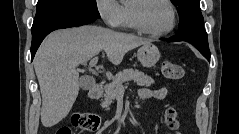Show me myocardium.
<instances>
[{"mask_svg": "<svg viewBox=\"0 0 239 134\" xmlns=\"http://www.w3.org/2000/svg\"><path fill=\"white\" fill-rule=\"evenodd\" d=\"M148 1H151V0H132L131 1L130 5H129V12H130V19H131L132 26L140 33H143V34H146L149 36H154V37L165 36V35L169 34L170 32H172L174 30V28L176 26V22H177L176 10H175V7L172 4V2L169 0H159V1H162L163 3H165L167 5V7L169 8V10L171 12V23L164 30L152 31V30L148 29L143 24V22L141 20V16H140V11H141L142 7Z\"/></svg>", "mask_w": 239, "mask_h": 134, "instance_id": "1", "label": "myocardium"}]
</instances>
